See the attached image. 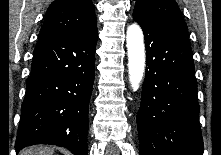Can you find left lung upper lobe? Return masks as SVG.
<instances>
[{
	"mask_svg": "<svg viewBox=\"0 0 221 155\" xmlns=\"http://www.w3.org/2000/svg\"><path fill=\"white\" fill-rule=\"evenodd\" d=\"M134 10L142 11L155 21L188 34L175 0H137Z\"/></svg>",
	"mask_w": 221,
	"mask_h": 155,
	"instance_id": "left-lung-upper-lobe-1",
	"label": "left lung upper lobe"
}]
</instances>
